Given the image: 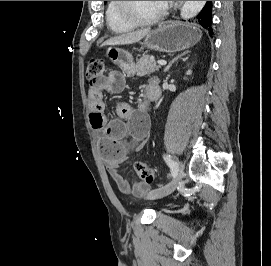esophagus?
<instances>
[{
	"label": "esophagus",
	"instance_id": "1",
	"mask_svg": "<svg viewBox=\"0 0 271 266\" xmlns=\"http://www.w3.org/2000/svg\"><path fill=\"white\" fill-rule=\"evenodd\" d=\"M183 1H176L175 9H178L182 5Z\"/></svg>",
	"mask_w": 271,
	"mask_h": 266
}]
</instances>
